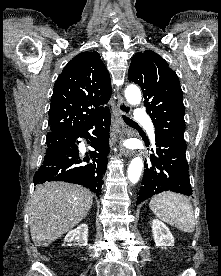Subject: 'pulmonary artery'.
<instances>
[{"instance_id": "1", "label": "pulmonary artery", "mask_w": 221, "mask_h": 276, "mask_svg": "<svg viewBox=\"0 0 221 276\" xmlns=\"http://www.w3.org/2000/svg\"><path fill=\"white\" fill-rule=\"evenodd\" d=\"M135 119L137 121H140V122H146L148 121V116L147 114L145 113L144 110L142 109H137L135 111ZM147 129H148V132H149V135L151 138H154V130H153V126L151 123H148L147 124Z\"/></svg>"}]
</instances>
